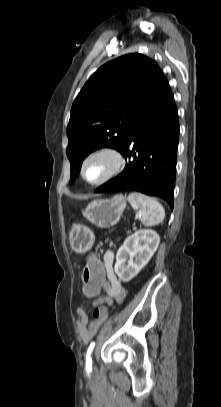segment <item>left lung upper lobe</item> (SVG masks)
<instances>
[{"label":"left lung upper lobe","instance_id":"obj_1","mask_svg":"<svg viewBox=\"0 0 221 407\" xmlns=\"http://www.w3.org/2000/svg\"><path fill=\"white\" fill-rule=\"evenodd\" d=\"M164 77L152 59L134 53L107 62L89 78L72 105L67 126L71 184L92 151L123 150L132 124Z\"/></svg>","mask_w":221,"mask_h":407}]
</instances>
